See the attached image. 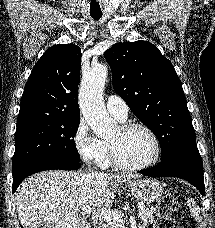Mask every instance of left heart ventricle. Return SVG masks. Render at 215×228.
Instances as JSON below:
<instances>
[{"mask_svg": "<svg viewBox=\"0 0 215 228\" xmlns=\"http://www.w3.org/2000/svg\"><path fill=\"white\" fill-rule=\"evenodd\" d=\"M109 141L114 145L118 159L130 166L142 164L153 151L150 137L140 128L123 131L119 127Z\"/></svg>", "mask_w": 215, "mask_h": 228, "instance_id": "b2bd125f", "label": "left heart ventricle"}]
</instances>
